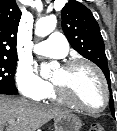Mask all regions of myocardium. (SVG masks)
Segmentation results:
<instances>
[{
	"label": "myocardium",
	"instance_id": "myocardium-1",
	"mask_svg": "<svg viewBox=\"0 0 117 131\" xmlns=\"http://www.w3.org/2000/svg\"><path fill=\"white\" fill-rule=\"evenodd\" d=\"M82 65L87 66L90 69H92L95 72V74L97 75V77L99 78L101 85H102V89H103V103H102V105L97 109L88 108V107L84 106L83 104H81L80 102H78L77 100H75L74 98H72L62 85H60L59 83L52 80L54 93L60 101L66 103L70 106H73L83 112L91 113V114L100 113L103 110H105V108L107 107V105L109 103V98H110L108 84H107V81H106L105 76H104L103 72L101 71V69L97 65H95L93 62L85 60V59L68 60V61L64 62L61 67L64 70H71V69H74V68H76L78 66H82Z\"/></svg>",
	"mask_w": 117,
	"mask_h": 131
}]
</instances>
